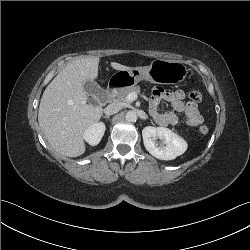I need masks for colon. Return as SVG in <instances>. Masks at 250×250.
<instances>
[{"label":"colon","mask_w":250,"mask_h":250,"mask_svg":"<svg viewBox=\"0 0 250 250\" xmlns=\"http://www.w3.org/2000/svg\"><path fill=\"white\" fill-rule=\"evenodd\" d=\"M188 95H189V98H190L193 102H195V103H199V102H201V100H202V94H201V92H200L199 90H197V89H190ZM199 132H200V134H202V135L207 134V133H208V128H207V126H205V125L201 126V127L199 128Z\"/></svg>","instance_id":"colon-1"}]
</instances>
